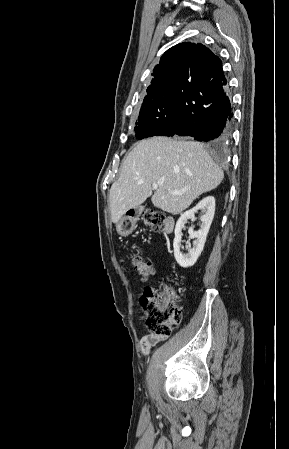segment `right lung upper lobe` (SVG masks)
<instances>
[{
  "label": "right lung upper lobe",
  "mask_w": 289,
  "mask_h": 449,
  "mask_svg": "<svg viewBox=\"0 0 289 449\" xmlns=\"http://www.w3.org/2000/svg\"><path fill=\"white\" fill-rule=\"evenodd\" d=\"M222 69V61L203 44L184 42L168 49L154 69L147 96L172 92L179 81L210 80Z\"/></svg>",
  "instance_id": "right-lung-upper-lobe-1"
}]
</instances>
